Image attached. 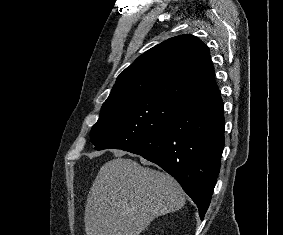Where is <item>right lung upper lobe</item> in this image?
<instances>
[{
  "mask_svg": "<svg viewBox=\"0 0 283 235\" xmlns=\"http://www.w3.org/2000/svg\"><path fill=\"white\" fill-rule=\"evenodd\" d=\"M215 89L207 46L185 34L139 56L118 76L104 104L131 98H168L185 104Z\"/></svg>",
  "mask_w": 283,
  "mask_h": 235,
  "instance_id": "cb5924a9",
  "label": "right lung upper lobe"
}]
</instances>
